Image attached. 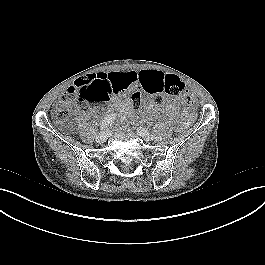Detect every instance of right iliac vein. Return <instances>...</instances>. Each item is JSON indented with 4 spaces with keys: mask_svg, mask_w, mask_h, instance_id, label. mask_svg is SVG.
<instances>
[{
    "mask_svg": "<svg viewBox=\"0 0 265 265\" xmlns=\"http://www.w3.org/2000/svg\"><path fill=\"white\" fill-rule=\"evenodd\" d=\"M97 142L103 143L107 140V134L105 132H100L96 137Z\"/></svg>",
    "mask_w": 265,
    "mask_h": 265,
    "instance_id": "63e3f726",
    "label": "right iliac vein"
}]
</instances>
